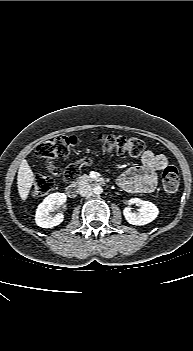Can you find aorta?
Returning a JSON list of instances; mask_svg holds the SVG:
<instances>
[{
    "label": "aorta",
    "mask_w": 193,
    "mask_h": 351,
    "mask_svg": "<svg viewBox=\"0 0 193 351\" xmlns=\"http://www.w3.org/2000/svg\"><path fill=\"white\" fill-rule=\"evenodd\" d=\"M92 190H93V193L96 195H99L103 192V189L100 185H96Z\"/></svg>",
    "instance_id": "aorta-1"
}]
</instances>
